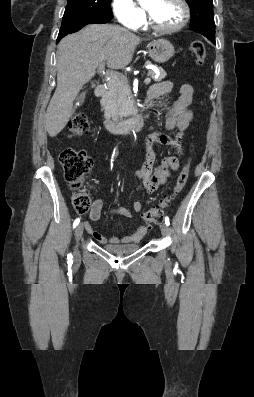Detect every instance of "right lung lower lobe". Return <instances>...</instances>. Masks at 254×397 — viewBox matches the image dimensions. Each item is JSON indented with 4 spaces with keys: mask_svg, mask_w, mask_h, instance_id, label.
<instances>
[{
    "mask_svg": "<svg viewBox=\"0 0 254 397\" xmlns=\"http://www.w3.org/2000/svg\"><path fill=\"white\" fill-rule=\"evenodd\" d=\"M112 18L113 16L104 17V18H94L80 14H64L56 43H58L67 34L74 33L87 24H93V23L104 24L109 20H111Z\"/></svg>",
    "mask_w": 254,
    "mask_h": 397,
    "instance_id": "right-lung-lower-lobe-1",
    "label": "right lung lower lobe"
}]
</instances>
